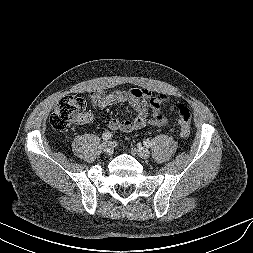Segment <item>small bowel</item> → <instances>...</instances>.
<instances>
[{
    "label": "small bowel",
    "mask_w": 253,
    "mask_h": 253,
    "mask_svg": "<svg viewBox=\"0 0 253 253\" xmlns=\"http://www.w3.org/2000/svg\"><path fill=\"white\" fill-rule=\"evenodd\" d=\"M90 105L96 109H105L121 102H128L135 116L131 119L120 120L112 118L108 122V127L112 131L130 132L141 129L148 124L155 126L166 125V120L161 113V107L169 102L166 95L156 96L148 90L131 88L129 90H114L109 93L102 91H90L88 93ZM152 112L153 116H150ZM91 116L86 114L83 121H89Z\"/></svg>",
    "instance_id": "obj_1"
}]
</instances>
